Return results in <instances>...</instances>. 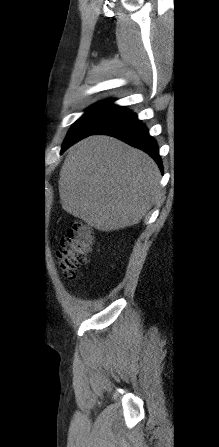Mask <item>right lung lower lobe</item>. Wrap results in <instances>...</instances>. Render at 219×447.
<instances>
[{"mask_svg": "<svg viewBox=\"0 0 219 447\" xmlns=\"http://www.w3.org/2000/svg\"><path fill=\"white\" fill-rule=\"evenodd\" d=\"M94 134L110 135L143 150L155 160L162 171L157 143L149 135L146 126L138 120L135 113H129L109 123Z\"/></svg>", "mask_w": 219, "mask_h": 447, "instance_id": "1", "label": "right lung lower lobe"}]
</instances>
